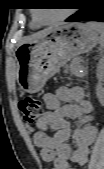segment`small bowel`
I'll use <instances>...</instances> for the list:
<instances>
[{
	"label": "small bowel",
	"mask_w": 104,
	"mask_h": 169,
	"mask_svg": "<svg viewBox=\"0 0 104 169\" xmlns=\"http://www.w3.org/2000/svg\"><path fill=\"white\" fill-rule=\"evenodd\" d=\"M47 108L37 122L38 131L33 140L41 149V156L52 162V169H70V162L84 165L88 159L89 145L97 137V127L91 124L94 119L90 101L85 99L80 87H59L43 96ZM70 120L76 122L72 129ZM54 131L50 135L48 131ZM72 139L74 149L68 143Z\"/></svg>",
	"instance_id": "small-bowel-1"
}]
</instances>
